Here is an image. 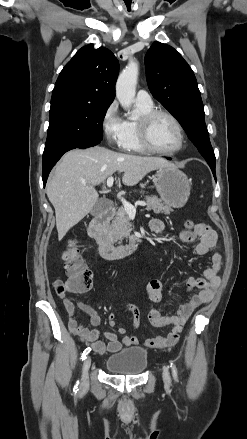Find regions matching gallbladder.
<instances>
[{
  "instance_id": "1",
  "label": "gallbladder",
  "mask_w": 247,
  "mask_h": 439,
  "mask_svg": "<svg viewBox=\"0 0 247 439\" xmlns=\"http://www.w3.org/2000/svg\"><path fill=\"white\" fill-rule=\"evenodd\" d=\"M105 209H106V206L104 204V200L100 199L93 207L91 213H92V215L97 216L100 213H102Z\"/></svg>"
}]
</instances>
